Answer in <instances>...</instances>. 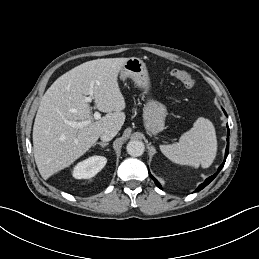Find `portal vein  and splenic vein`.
<instances>
[{
  "label": "portal vein and splenic vein",
  "instance_id": "portal-vein-and-splenic-vein-1",
  "mask_svg": "<svg viewBox=\"0 0 259 259\" xmlns=\"http://www.w3.org/2000/svg\"><path fill=\"white\" fill-rule=\"evenodd\" d=\"M86 102H91L92 99H93V93L92 91L90 92V95L88 97H85L84 98ZM94 118L96 120H99L101 118V114L98 112V111H95L94 113ZM90 122L89 121H81V122H76V121H66V124L71 126V127H74V128H83L85 126H87Z\"/></svg>",
  "mask_w": 259,
  "mask_h": 259
}]
</instances>
